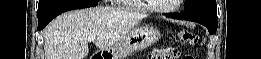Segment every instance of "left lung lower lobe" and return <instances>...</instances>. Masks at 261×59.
<instances>
[{
    "mask_svg": "<svg viewBox=\"0 0 261 59\" xmlns=\"http://www.w3.org/2000/svg\"><path fill=\"white\" fill-rule=\"evenodd\" d=\"M168 17L198 22L208 29L209 34H214L217 30V13L202 10H188L181 14H168Z\"/></svg>",
    "mask_w": 261,
    "mask_h": 59,
    "instance_id": "1",
    "label": "left lung lower lobe"
}]
</instances>
